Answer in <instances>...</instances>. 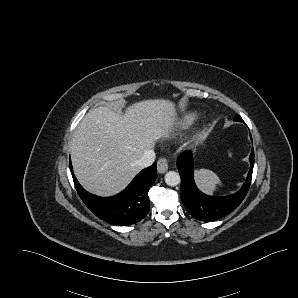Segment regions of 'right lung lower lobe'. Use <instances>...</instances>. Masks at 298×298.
<instances>
[{
    "instance_id": "obj_1",
    "label": "right lung lower lobe",
    "mask_w": 298,
    "mask_h": 298,
    "mask_svg": "<svg viewBox=\"0 0 298 298\" xmlns=\"http://www.w3.org/2000/svg\"><path fill=\"white\" fill-rule=\"evenodd\" d=\"M72 177L76 190L85 205L102 220L119 226L131 225L142 220L149 212V188L157 178L156 163L142 170L121 193L112 197H99L88 193Z\"/></svg>"
}]
</instances>
